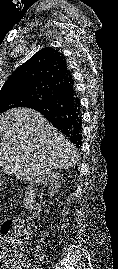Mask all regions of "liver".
<instances>
[{
  "label": "liver",
  "mask_w": 118,
  "mask_h": 269,
  "mask_svg": "<svg viewBox=\"0 0 118 269\" xmlns=\"http://www.w3.org/2000/svg\"><path fill=\"white\" fill-rule=\"evenodd\" d=\"M76 147L39 112L15 108L0 115V167L23 181L74 167Z\"/></svg>",
  "instance_id": "1"
}]
</instances>
